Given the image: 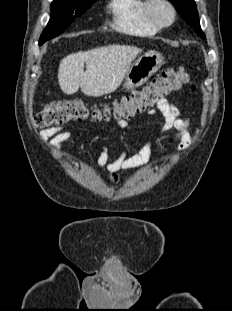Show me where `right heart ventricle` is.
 Masks as SVG:
<instances>
[{
	"mask_svg": "<svg viewBox=\"0 0 232 311\" xmlns=\"http://www.w3.org/2000/svg\"><path fill=\"white\" fill-rule=\"evenodd\" d=\"M146 0H110L107 9L111 24L120 32L134 36H152L159 29L148 22L144 14Z\"/></svg>",
	"mask_w": 232,
	"mask_h": 311,
	"instance_id": "right-heart-ventricle-1",
	"label": "right heart ventricle"
}]
</instances>
